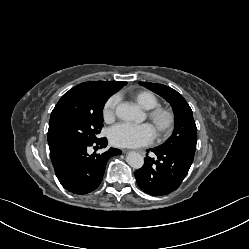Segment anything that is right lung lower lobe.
<instances>
[{"mask_svg":"<svg viewBox=\"0 0 249 249\" xmlns=\"http://www.w3.org/2000/svg\"><path fill=\"white\" fill-rule=\"evenodd\" d=\"M91 146L105 148L107 139L67 148L51 159L58 180L69 192L86 194L95 190L102 181L108 159L121 154L119 149L110 148L102 154L89 155L87 150Z\"/></svg>","mask_w":249,"mask_h":249,"instance_id":"obj_1","label":"right lung lower lobe"}]
</instances>
